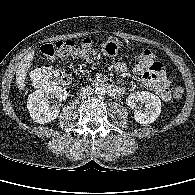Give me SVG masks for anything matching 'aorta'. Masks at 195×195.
<instances>
[{"label": "aorta", "instance_id": "aorta-1", "mask_svg": "<svg viewBox=\"0 0 195 195\" xmlns=\"http://www.w3.org/2000/svg\"><path fill=\"white\" fill-rule=\"evenodd\" d=\"M95 93L97 94L98 97H102L106 93V89L104 87H97L95 89Z\"/></svg>", "mask_w": 195, "mask_h": 195}]
</instances>
